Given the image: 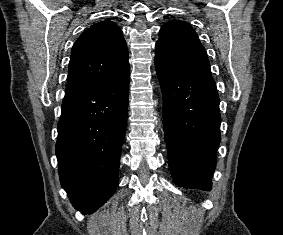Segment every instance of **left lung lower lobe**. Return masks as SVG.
I'll return each mask as SVG.
<instances>
[{
  "label": "left lung lower lobe",
  "instance_id": "obj_1",
  "mask_svg": "<svg viewBox=\"0 0 283 235\" xmlns=\"http://www.w3.org/2000/svg\"><path fill=\"white\" fill-rule=\"evenodd\" d=\"M156 72L163 93L164 137L174 182L184 188L211 190L221 140L216 84L213 79L158 65Z\"/></svg>",
  "mask_w": 283,
  "mask_h": 235
}]
</instances>
